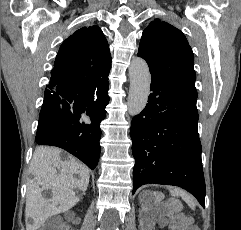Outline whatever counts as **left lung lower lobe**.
Segmentation results:
<instances>
[{
    "mask_svg": "<svg viewBox=\"0 0 241 230\" xmlns=\"http://www.w3.org/2000/svg\"><path fill=\"white\" fill-rule=\"evenodd\" d=\"M148 104L132 119L135 159L133 193L141 185H176L205 206V182L198 136L197 91L151 75Z\"/></svg>",
    "mask_w": 241,
    "mask_h": 230,
    "instance_id": "1",
    "label": "left lung lower lobe"
}]
</instances>
